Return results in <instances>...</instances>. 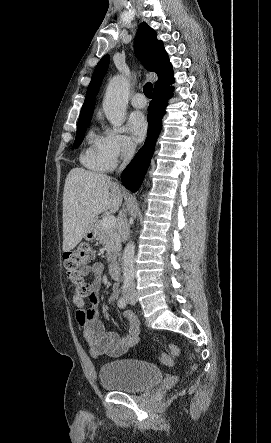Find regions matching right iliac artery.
Here are the masks:
<instances>
[{"label":"right iliac artery","instance_id":"82829eb1","mask_svg":"<svg viewBox=\"0 0 271 443\" xmlns=\"http://www.w3.org/2000/svg\"><path fill=\"white\" fill-rule=\"evenodd\" d=\"M126 305H127V301H126L125 297L124 296L120 297V299L118 300V306L123 309L126 307Z\"/></svg>","mask_w":271,"mask_h":443}]
</instances>
